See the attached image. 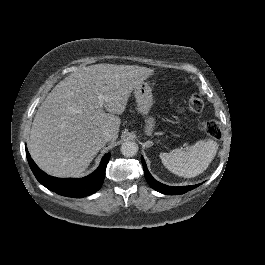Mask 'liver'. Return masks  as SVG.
<instances>
[{
  "mask_svg": "<svg viewBox=\"0 0 265 265\" xmlns=\"http://www.w3.org/2000/svg\"><path fill=\"white\" fill-rule=\"evenodd\" d=\"M135 65L96 64L80 68L60 81L34 117L29 149L36 164L57 177H79L102 149L104 131L118 138L122 114L131 92L153 74ZM98 94L105 97V113Z\"/></svg>",
  "mask_w": 265,
  "mask_h": 265,
  "instance_id": "6515ba94",
  "label": "liver"
}]
</instances>
